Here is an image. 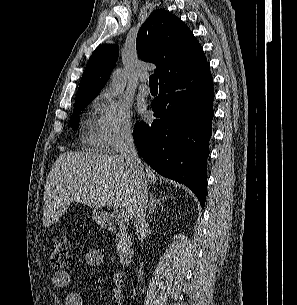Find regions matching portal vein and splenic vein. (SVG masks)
I'll list each match as a JSON object with an SVG mask.
<instances>
[{"label":"portal vein and splenic vein","instance_id":"portal-vein-and-splenic-vein-1","mask_svg":"<svg viewBox=\"0 0 297 305\" xmlns=\"http://www.w3.org/2000/svg\"><path fill=\"white\" fill-rule=\"evenodd\" d=\"M117 216H118V219L121 221H126L128 219L127 212L124 210H121Z\"/></svg>","mask_w":297,"mask_h":305}]
</instances>
